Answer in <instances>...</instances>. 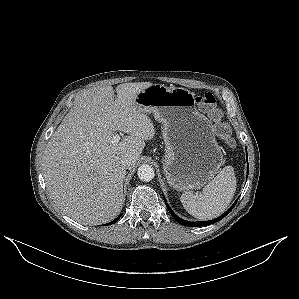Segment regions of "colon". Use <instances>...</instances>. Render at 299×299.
I'll use <instances>...</instances> for the list:
<instances>
[{"mask_svg":"<svg viewBox=\"0 0 299 299\" xmlns=\"http://www.w3.org/2000/svg\"><path fill=\"white\" fill-rule=\"evenodd\" d=\"M196 101L213 122L217 136L226 141L229 145H232L230 126L224 119L222 109L218 105L215 96L210 92L202 93L196 97Z\"/></svg>","mask_w":299,"mask_h":299,"instance_id":"1","label":"colon"}]
</instances>
